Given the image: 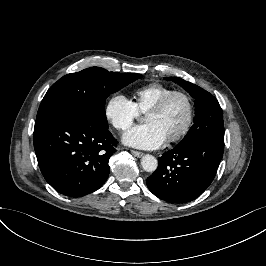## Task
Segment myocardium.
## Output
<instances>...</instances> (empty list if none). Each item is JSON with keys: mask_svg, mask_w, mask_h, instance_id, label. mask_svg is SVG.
Segmentation results:
<instances>
[{"mask_svg": "<svg viewBox=\"0 0 266 266\" xmlns=\"http://www.w3.org/2000/svg\"><path fill=\"white\" fill-rule=\"evenodd\" d=\"M178 96L183 97L186 100L188 107H189V114H188V118H187L185 124L183 125V127L181 128V130L175 136L167 138V141L169 143H177V142L181 141L185 137V135L188 133V131L190 130V128L194 122V118H195V103H194L193 97L186 91L173 90V91L167 93L166 95H164L158 102L153 104L146 111V113L147 112H162L167 108L169 103L175 97H178Z\"/></svg>", "mask_w": 266, "mask_h": 266, "instance_id": "f54148a6", "label": "myocardium"}]
</instances>
